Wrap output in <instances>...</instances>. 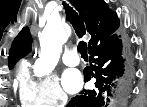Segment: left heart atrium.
I'll use <instances>...</instances> for the list:
<instances>
[{"label": "left heart atrium", "instance_id": "39dd6f15", "mask_svg": "<svg viewBox=\"0 0 147 107\" xmlns=\"http://www.w3.org/2000/svg\"><path fill=\"white\" fill-rule=\"evenodd\" d=\"M63 85L68 92H77L82 86L80 73L76 70H67L63 76Z\"/></svg>", "mask_w": 147, "mask_h": 107}]
</instances>
